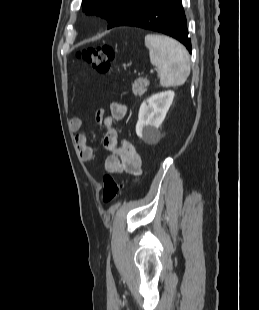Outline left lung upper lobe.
Wrapping results in <instances>:
<instances>
[{
	"mask_svg": "<svg viewBox=\"0 0 259 310\" xmlns=\"http://www.w3.org/2000/svg\"><path fill=\"white\" fill-rule=\"evenodd\" d=\"M149 0H82V9L87 15L105 18L108 28L115 24L131 9Z\"/></svg>",
	"mask_w": 259,
	"mask_h": 310,
	"instance_id": "obj_1",
	"label": "left lung upper lobe"
}]
</instances>
